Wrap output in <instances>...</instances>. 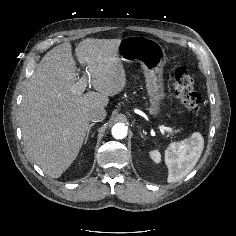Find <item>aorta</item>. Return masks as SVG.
<instances>
[{
  "label": "aorta",
  "mask_w": 236,
  "mask_h": 236,
  "mask_svg": "<svg viewBox=\"0 0 236 236\" xmlns=\"http://www.w3.org/2000/svg\"><path fill=\"white\" fill-rule=\"evenodd\" d=\"M112 136L115 139H123L127 136V127L124 123H117L112 128Z\"/></svg>",
  "instance_id": "aorta-1"
}]
</instances>
